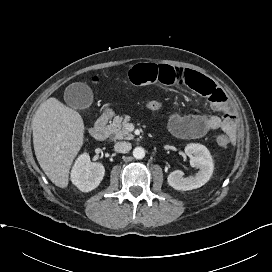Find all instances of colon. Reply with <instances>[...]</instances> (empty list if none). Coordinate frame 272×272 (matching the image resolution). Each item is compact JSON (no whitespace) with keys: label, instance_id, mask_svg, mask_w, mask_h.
Returning a JSON list of instances; mask_svg holds the SVG:
<instances>
[{"label":"colon","instance_id":"colon-1","mask_svg":"<svg viewBox=\"0 0 272 272\" xmlns=\"http://www.w3.org/2000/svg\"><path fill=\"white\" fill-rule=\"evenodd\" d=\"M146 109L150 111H158L162 108V103L158 100H147L144 102ZM216 141L220 146H227L229 144V137L226 134H219Z\"/></svg>","mask_w":272,"mask_h":272}]
</instances>
